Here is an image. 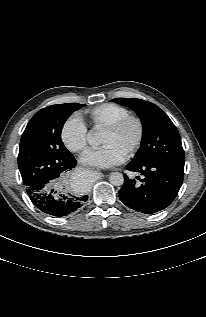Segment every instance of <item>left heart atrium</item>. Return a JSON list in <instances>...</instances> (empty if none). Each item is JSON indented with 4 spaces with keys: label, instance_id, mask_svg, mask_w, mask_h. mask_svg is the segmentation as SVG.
<instances>
[{
    "label": "left heart atrium",
    "instance_id": "39dd6f15",
    "mask_svg": "<svg viewBox=\"0 0 206 317\" xmlns=\"http://www.w3.org/2000/svg\"><path fill=\"white\" fill-rule=\"evenodd\" d=\"M125 153L111 144H103L87 151L81 157L83 163L100 167H111L123 162Z\"/></svg>",
    "mask_w": 206,
    "mask_h": 317
}]
</instances>
